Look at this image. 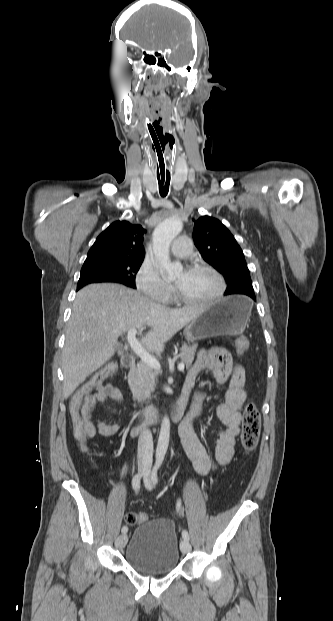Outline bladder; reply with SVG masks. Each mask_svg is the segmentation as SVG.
<instances>
[{
    "label": "bladder",
    "instance_id": "obj_1",
    "mask_svg": "<svg viewBox=\"0 0 333 621\" xmlns=\"http://www.w3.org/2000/svg\"><path fill=\"white\" fill-rule=\"evenodd\" d=\"M175 523L166 518L148 519L132 533L125 560L133 569L154 575L173 571L179 561Z\"/></svg>",
    "mask_w": 333,
    "mask_h": 621
}]
</instances>
